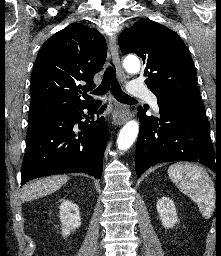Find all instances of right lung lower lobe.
I'll list each match as a JSON object with an SVG mask.
<instances>
[{
	"label": "right lung lower lobe",
	"mask_w": 221,
	"mask_h": 256,
	"mask_svg": "<svg viewBox=\"0 0 221 256\" xmlns=\"http://www.w3.org/2000/svg\"><path fill=\"white\" fill-rule=\"evenodd\" d=\"M100 104L92 100L29 125L21 168L22 184L63 173L82 172L101 178L108 130L104 117L100 116L106 105L97 110ZM84 109H88L92 117L81 122ZM95 113L97 117L93 118ZM75 124L81 133L73 131Z\"/></svg>",
	"instance_id": "98d812e1"
}]
</instances>
